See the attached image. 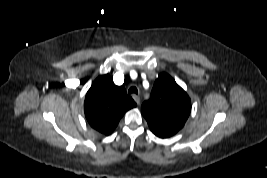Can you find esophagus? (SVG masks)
<instances>
[{
	"label": "esophagus",
	"mask_w": 267,
	"mask_h": 178,
	"mask_svg": "<svg viewBox=\"0 0 267 178\" xmlns=\"http://www.w3.org/2000/svg\"><path fill=\"white\" fill-rule=\"evenodd\" d=\"M132 97H133L134 101L139 105L140 104V98H139V96L133 95Z\"/></svg>",
	"instance_id": "34e87169"
}]
</instances>
